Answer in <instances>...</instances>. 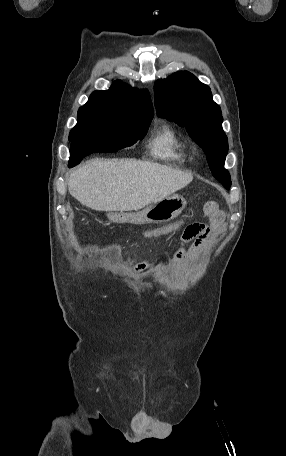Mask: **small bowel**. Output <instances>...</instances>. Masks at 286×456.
Masks as SVG:
<instances>
[{
  "label": "small bowel",
  "mask_w": 286,
  "mask_h": 456,
  "mask_svg": "<svg viewBox=\"0 0 286 456\" xmlns=\"http://www.w3.org/2000/svg\"><path fill=\"white\" fill-rule=\"evenodd\" d=\"M213 227H220L224 222V214L219 210L208 212ZM182 221L149 229L145 232L148 237H158L177 231ZM210 240V229L203 224H192L185 228L180 242V247L175 254V261L181 263L185 259L194 260ZM191 245L187 248V244ZM148 267V262L143 261L135 266V272L141 273Z\"/></svg>",
  "instance_id": "c3829d8e"
}]
</instances>
